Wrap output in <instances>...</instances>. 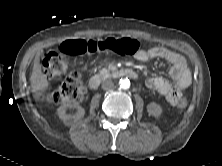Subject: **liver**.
Here are the masks:
<instances>
[{
  "mask_svg": "<svg viewBox=\"0 0 222 166\" xmlns=\"http://www.w3.org/2000/svg\"><path fill=\"white\" fill-rule=\"evenodd\" d=\"M30 82L33 96L36 100H38L48 89L49 86L47 77L42 72V65L40 63V53H37V55L35 56L32 74L30 76Z\"/></svg>",
  "mask_w": 222,
  "mask_h": 166,
  "instance_id": "obj_1",
  "label": "liver"
}]
</instances>
